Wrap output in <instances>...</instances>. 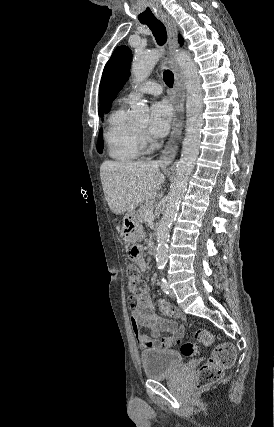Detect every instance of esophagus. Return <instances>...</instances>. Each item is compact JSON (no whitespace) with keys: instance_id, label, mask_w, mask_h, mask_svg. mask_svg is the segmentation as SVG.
I'll use <instances>...</instances> for the list:
<instances>
[{"instance_id":"1","label":"esophagus","mask_w":274,"mask_h":427,"mask_svg":"<svg viewBox=\"0 0 274 427\" xmlns=\"http://www.w3.org/2000/svg\"><path fill=\"white\" fill-rule=\"evenodd\" d=\"M160 20L166 27L168 35V47L170 53L169 65L174 73V89L171 100L174 106V117L170 136L165 143L162 155L160 158L161 165H169L177 152L178 140L182 133L184 122V100H185V78L181 72L174 54L178 49V33L177 27L172 17L167 14L159 15Z\"/></svg>"}]
</instances>
